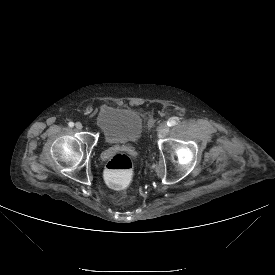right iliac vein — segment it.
<instances>
[{"mask_svg": "<svg viewBox=\"0 0 275 275\" xmlns=\"http://www.w3.org/2000/svg\"><path fill=\"white\" fill-rule=\"evenodd\" d=\"M75 127L77 129L81 130L83 126H82V124L80 122H76Z\"/></svg>", "mask_w": 275, "mask_h": 275, "instance_id": "obj_1", "label": "right iliac vein"}]
</instances>
